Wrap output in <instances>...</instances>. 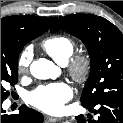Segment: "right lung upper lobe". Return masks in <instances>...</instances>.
Wrapping results in <instances>:
<instances>
[{
	"label": "right lung upper lobe",
	"mask_w": 123,
	"mask_h": 123,
	"mask_svg": "<svg viewBox=\"0 0 123 123\" xmlns=\"http://www.w3.org/2000/svg\"><path fill=\"white\" fill-rule=\"evenodd\" d=\"M57 18L8 16L1 18V50L10 49L27 37L43 34Z\"/></svg>",
	"instance_id": "right-lung-upper-lobe-1"
}]
</instances>
